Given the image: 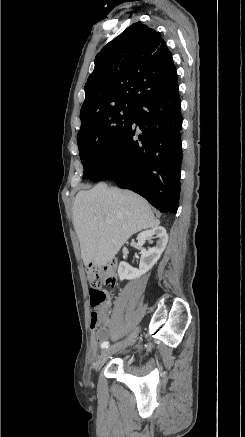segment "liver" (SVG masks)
Listing matches in <instances>:
<instances>
[{
    "label": "liver",
    "mask_w": 245,
    "mask_h": 437,
    "mask_svg": "<svg viewBox=\"0 0 245 437\" xmlns=\"http://www.w3.org/2000/svg\"><path fill=\"white\" fill-rule=\"evenodd\" d=\"M159 224L145 199L105 183L79 191L74 200L73 225L85 265L107 264L133 234Z\"/></svg>",
    "instance_id": "liver-1"
}]
</instances>
